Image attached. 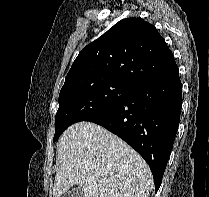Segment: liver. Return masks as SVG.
<instances>
[{
    "label": "liver",
    "instance_id": "liver-1",
    "mask_svg": "<svg viewBox=\"0 0 209 197\" xmlns=\"http://www.w3.org/2000/svg\"><path fill=\"white\" fill-rule=\"evenodd\" d=\"M53 196L78 185L83 197H148L153 178L143 158L118 136L91 122L68 127L58 140Z\"/></svg>",
    "mask_w": 209,
    "mask_h": 197
}]
</instances>
